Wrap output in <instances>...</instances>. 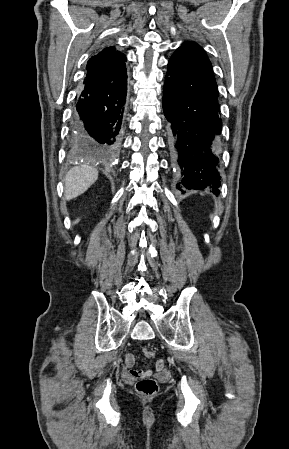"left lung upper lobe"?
I'll return each mask as SVG.
<instances>
[{
  "label": "left lung upper lobe",
  "instance_id": "obj_1",
  "mask_svg": "<svg viewBox=\"0 0 289 449\" xmlns=\"http://www.w3.org/2000/svg\"><path fill=\"white\" fill-rule=\"evenodd\" d=\"M182 46L186 47V48H190V49L199 50V51L204 52L203 48H201L195 42L187 41V42L183 43Z\"/></svg>",
  "mask_w": 289,
  "mask_h": 449
}]
</instances>
